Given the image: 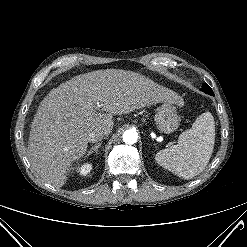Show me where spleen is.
<instances>
[{"mask_svg":"<svg viewBox=\"0 0 247 247\" xmlns=\"http://www.w3.org/2000/svg\"><path fill=\"white\" fill-rule=\"evenodd\" d=\"M215 143V122L210 112L201 114L178 143L156 154V162L183 179H191L207 166Z\"/></svg>","mask_w":247,"mask_h":247,"instance_id":"1","label":"spleen"}]
</instances>
